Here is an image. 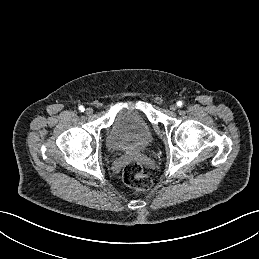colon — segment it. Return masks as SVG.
<instances>
[{"instance_id":"colon-1","label":"colon","mask_w":259,"mask_h":259,"mask_svg":"<svg viewBox=\"0 0 259 259\" xmlns=\"http://www.w3.org/2000/svg\"><path fill=\"white\" fill-rule=\"evenodd\" d=\"M124 183L135 192L148 191L152 187V180L144 173L143 166L137 160L126 163L122 173Z\"/></svg>"}]
</instances>
